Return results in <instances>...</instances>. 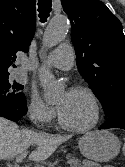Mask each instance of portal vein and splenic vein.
I'll return each mask as SVG.
<instances>
[{
  "label": "portal vein and splenic vein",
  "mask_w": 125,
  "mask_h": 167,
  "mask_svg": "<svg viewBox=\"0 0 125 167\" xmlns=\"http://www.w3.org/2000/svg\"><path fill=\"white\" fill-rule=\"evenodd\" d=\"M27 155V151H24L22 152L21 154H19L17 157H16V162H21ZM68 164H71L72 163V160H68L67 161Z\"/></svg>",
  "instance_id": "1"
}]
</instances>
